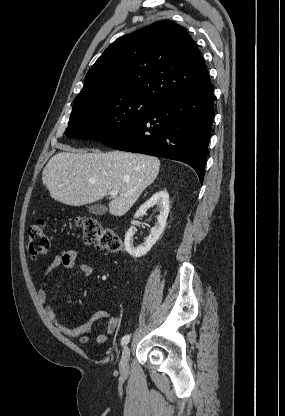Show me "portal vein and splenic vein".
Segmentation results:
<instances>
[{"label": "portal vein and splenic vein", "mask_w": 285, "mask_h": 416, "mask_svg": "<svg viewBox=\"0 0 285 416\" xmlns=\"http://www.w3.org/2000/svg\"><path fill=\"white\" fill-rule=\"evenodd\" d=\"M110 196H119L118 190H111ZM120 196H123V194H120Z\"/></svg>", "instance_id": "obj_1"}]
</instances>
